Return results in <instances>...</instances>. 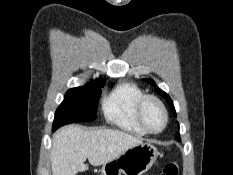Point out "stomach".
I'll return each instance as SVG.
<instances>
[{"label":"stomach","instance_id":"0dacf381","mask_svg":"<svg viewBox=\"0 0 233 175\" xmlns=\"http://www.w3.org/2000/svg\"><path fill=\"white\" fill-rule=\"evenodd\" d=\"M159 155L151 142H142L122 153L118 158L103 164L101 175H143Z\"/></svg>","mask_w":233,"mask_h":175}]
</instances>
